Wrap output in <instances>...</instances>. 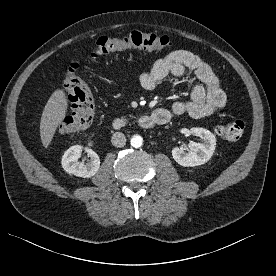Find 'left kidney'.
<instances>
[{"label": "left kidney", "instance_id": "obj_1", "mask_svg": "<svg viewBox=\"0 0 276 276\" xmlns=\"http://www.w3.org/2000/svg\"><path fill=\"white\" fill-rule=\"evenodd\" d=\"M189 134L199 136L203 143L190 142L189 152L183 148L175 147L172 150L173 159L181 166L194 167L206 163L214 153L216 138L209 130L199 127H192Z\"/></svg>", "mask_w": 276, "mask_h": 276}]
</instances>
